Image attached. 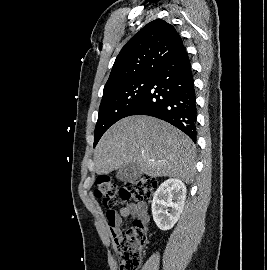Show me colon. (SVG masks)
<instances>
[{"mask_svg":"<svg viewBox=\"0 0 267 270\" xmlns=\"http://www.w3.org/2000/svg\"><path fill=\"white\" fill-rule=\"evenodd\" d=\"M157 185L156 179L143 177L118 186L107 176H99L94 182V194L102 201L107 213L113 214L119 201L140 202L151 199ZM114 241L120 270H139L146 247V235L142 223L135 220L131 228L116 233Z\"/></svg>","mask_w":267,"mask_h":270,"instance_id":"1","label":"colon"}]
</instances>
